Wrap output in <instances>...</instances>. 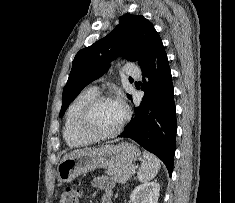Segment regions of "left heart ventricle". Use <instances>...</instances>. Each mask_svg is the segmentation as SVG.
Returning a JSON list of instances; mask_svg holds the SVG:
<instances>
[{
  "instance_id": "b2bd125f",
  "label": "left heart ventricle",
  "mask_w": 235,
  "mask_h": 203,
  "mask_svg": "<svg viewBox=\"0 0 235 203\" xmlns=\"http://www.w3.org/2000/svg\"><path fill=\"white\" fill-rule=\"evenodd\" d=\"M123 116L124 109L118 101H104L95 108L91 124L96 131L107 133L120 124Z\"/></svg>"
}]
</instances>
